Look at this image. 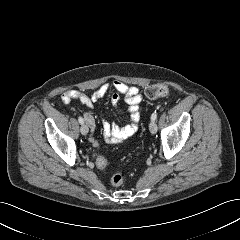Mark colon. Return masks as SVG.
Here are the masks:
<instances>
[{"mask_svg":"<svg viewBox=\"0 0 240 240\" xmlns=\"http://www.w3.org/2000/svg\"><path fill=\"white\" fill-rule=\"evenodd\" d=\"M169 94V88L168 86L164 84H155L147 87L145 89V95L149 99H155V98H160V97H165ZM107 159L100 155L96 159V165L100 169H105L107 167ZM124 182V177L120 173H116L111 177V184L114 187H119L123 184Z\"/></svg>","mask_w":240,"mask_h":240,"instance_id":"obj_1","label":"colon"}]
</instances>
